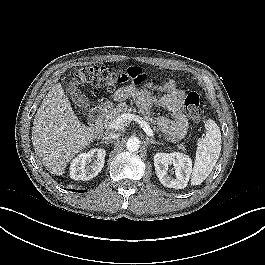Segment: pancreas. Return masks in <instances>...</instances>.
<instances>
[{"label": "pancreas", "mask_w": 265, "mask_h": 265, "mask_svg": "<svg viewBox=\"0 0 265 265\" xmlns=\"http://www.w3.org/2000/svg\"><path fill=\"white\" fill-rule=\"evenodd\" d=\"M131 108L128 107V105L126 103H120L116 106V108L111 109L104 120V124L108 129H113L111 127V123L113 121H115L120 115L126 113V112H130ZM145 120L148 121L149 123H154V119L153 117H151L150 115L145 116ZM158 131V130H157ZM178 149L182 150V151H186V147L184 144H178L177 145Z\"/></svg>", "instance_id": "cf45deb5"}]
</instances>
